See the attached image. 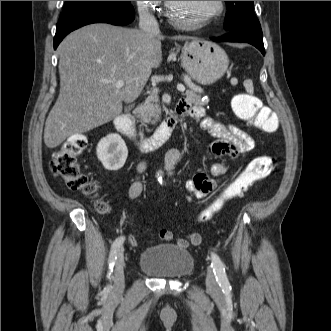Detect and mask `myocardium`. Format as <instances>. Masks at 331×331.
<instances>
[{
    "mask_svg": "<svg viewBox=\"0 0 331 331\" xmlns=\"http://www.w3.org/2000/svg\"><path fill=\"white\" fill-rule=\"evenodd\" d=\"M215 9L212 13L206 15L205 17H203L202 19H200L199 21L197 22H194L192 24H187V23H184V22H181L179 20H177L174 16H173V13H172V10H173V4H172V1H166V11H165V14H166V17L168 18V20L170 21V23H172L173 25L175 26H178V27H200L206 23H209L215 19H217L218 17H220L223 13V10H224V4H223V1H215Z\"/></svg>",
    "mask_w": 331,
    "mask_h": 331,
    "instance_id": "1",
    "label": "myocardium"
}]
</instances>
